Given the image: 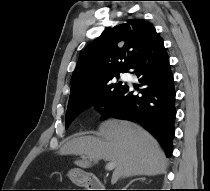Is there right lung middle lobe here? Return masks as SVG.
<instances>
[{"instance_id": "obj_1", "label": "right lung middle lobe", "mask_w": 210, "mask_h": 191, "mask_svg": "<svg viewBox=\"0 0 210 191\" xmlns=\"http://www.w3.org/2000/svg\"><path fill=\"white\" fill-rule=\"evenodd\" d=\"M127 72L123 71L122 73ZM121 72L110 74L100 79L96 85L87 93L69 99L66 112L65 128L67 129L73 119L83 110L95 105L101 112L126 86L122 82H115Z\"/></svg>"}]
</instances>
